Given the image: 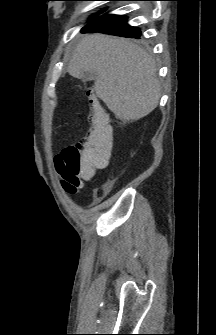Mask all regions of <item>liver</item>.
I'll list each match as a JSON object with an SVG mask.
<instances>
[{
	"instance_id": "obj_1",
	"label": "liver",
	"mask_w": 216,
	"mask_h": 335,
	"mask_svg": "<svg viewBox=\"0 0 216 335\" xmlns=\"http://www.w3.org/2000/svg\"><path fill=\"white\" fill-rule=\"evenodd\" d=\"M81 78L95 74L94 90L122 121H136L158 105L160 83L154 59L142 47L123 38L95 33L76 45L67 68Z\"/></svg>"
}]
</instances>
